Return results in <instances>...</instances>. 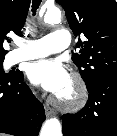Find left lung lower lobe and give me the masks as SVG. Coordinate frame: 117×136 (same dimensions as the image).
Masks as SVG:
<instances>
[{
	"instance_id": "obj_1",
	"label": "left lung lower lobe",
	"mask_w": 117,
	"mask_h": 136,
	"mask_svg": "<svg viewBox=\"0 0 117 136\" xmlns=\"http://www.w3.org/2000/svg\"><path fill=\"white\" fill-rule=\"evenodd\" d=\"M87 89L85 107L63 115V136H117V74L105 76Z\"/></svg>"
}]
</instances>
